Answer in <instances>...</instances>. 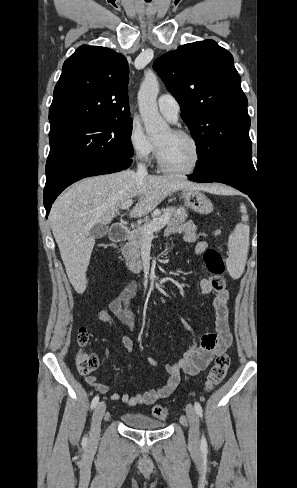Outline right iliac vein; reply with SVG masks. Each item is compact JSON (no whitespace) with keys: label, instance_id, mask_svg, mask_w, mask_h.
<instances>
[{"label":"right iliac vein","instance_id":"right-iliac-vein-1","mask_svg":"<svg viewBox=\"0 0 297 488\" xmlns=\"http://www.w3.org/2000/svg\"><path fill=\"white\" fill-rule=\"evenodd\" d=\"M106 410V405L104 402H99L98 405L95 407L92 422H91V430L89 436V445L94 447L97 445L99 436H100V428H101V421L104 416Z\"/></svg>","mask_w":297,"mask_h":488}]
</instances>
